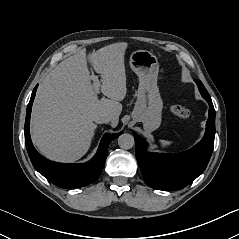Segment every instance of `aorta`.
Segmentation results:
<instances>
[{
	"label": "aorta",
	"instance_id": "762f6f07",
	"mask_svg": "<svg viewBox=\"0 0 239 239\" xmlns=\"http://www.w3.org/2000/svg\"><path fill=\"white\" fill-rule=\"evenodd\" d=\"M134 143V137L131 134L124 133L118 137V145L122 149H131Z\"/></svg>",
	"mask_w": 239,
	"mask_h": 239
}]
</instances>
